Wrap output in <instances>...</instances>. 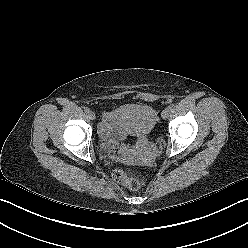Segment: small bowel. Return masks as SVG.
<instances>
[{
	"mask_svg": "<svg viewBox=\"0 0 248 248\" xmlns=\"http://www.w3.org/2000/svg\"><path fill=\"white\" fill-rule=\"evenodd\" d=\"M100 133L104 137H112L118 140H124L127 132L121 128L115 116V112L106 113L100 126Z\"/></svg>",
	"mask_w": 248,
	"mask_h": 248,
	"instance_id": "c3829d8e",
	"label": "small bowel"
}]
</instances>
